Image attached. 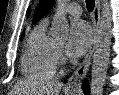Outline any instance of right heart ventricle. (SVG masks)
I'll return each mask as SVG.
<instances>
[{"label":"right heart ventricle","mask_w":119,"mask_h":95,"mask_svg":"<svg viewBox=\"0 0 119 95\" xmlns=\"http://www.w3.org/2000/svg\"><path fill=\"white\" fill-rule=\"evenodd\" d=\"M48 21L39 22L31 32L22 56V73L32 78H50L57 70L59 46L47 33Z\"/></svg>","instance_id":"e07e8e85"}]
</instances>
